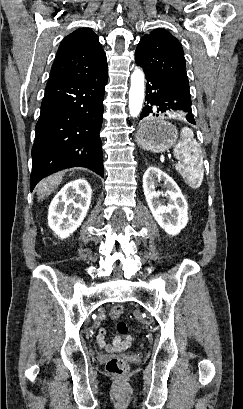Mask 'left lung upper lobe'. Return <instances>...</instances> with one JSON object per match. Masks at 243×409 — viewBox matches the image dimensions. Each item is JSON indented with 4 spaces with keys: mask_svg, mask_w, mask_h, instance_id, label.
Segmentation results:
<instances>
[{
    "mask_svg": "<svg viewBox=\"0 0 243 409\" xmlns=\"http://www.w3.org/2000/svg\"><path fill=\"white\" fill-rule=\"evenodd\" d=\"M135 61L145 73L164 77L189 88L182 46L165 29H155L141 38L136 48Z\"/></svg>",
    "mask_w": 243,
    "mask_h": 409,
    "instance_id": "5c2ea615",
    "label": "left lung upper lobe"
}]
</instances>
